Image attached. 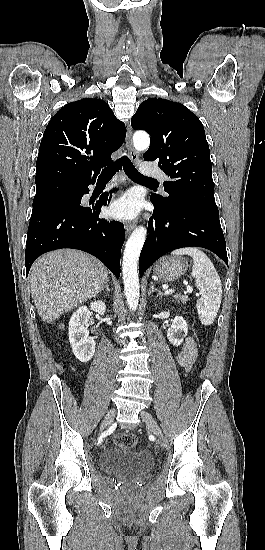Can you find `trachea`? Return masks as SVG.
<instances>
[{"mask_svg": "<svg viewBox=\"0 0 265 550\" xmlns=\"http://www.w3.org/2000/svg\"><path fill=\"white\" fill-rule=\"evenodd\" d=\"M123 167L124 172L126 175L137 182L140 183H155L158 182L155 179L146 177L139 173L137 169L134 167L133 163L130 161V159L127 156H122L119 158L115 163L105 168L102 173L99 175V180H110L115 173Z\"/></svg>", "mask_w": 265, "mask_h": 550, "instance_id": "trachea-1", "label": "trachea"}]
</instances>
